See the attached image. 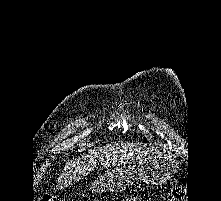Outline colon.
<instances>
[{"label": "colon", "instance_id": "obj_1", "mask_svg": "<svg viewBox=\"0 0 221 201\" xmlns=\"http://www.w3.org/2000/svg\"><path fill=\"white\" fill-rule=\"evenodd\" d=\"M41 201H61L55 196L43 198ZM171 201H187V190L185 187H177L173 190Z\"/></svg>", "mask_w": 221, "mask_h": 201}]
</instances>
